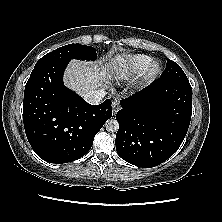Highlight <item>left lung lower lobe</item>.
<instances>
[{"mask_svg": "<svg viewBox=\"0 0 222 222\" xmlns=\"http://www.w3.org/2000/svg\"><path fill=\"white\" fill-rule=\"evenodd\" d=\"M120 103L116 150L123 160L151 168L178 150L191 120L188 80L158 79Z\"/></svg>", "mask_w": 222, "mask_h": 222, "instance_id": "0a47b994", "label": "left lung lower lobe"}]
</instances>
